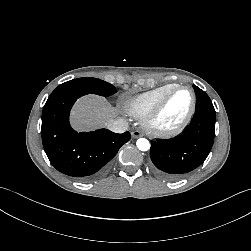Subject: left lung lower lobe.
I'll list each match as a JSON object with an SVG mask.
<instances>
[{"instance_id":"0a47b994","label":"left lung lower lobe","mask_w":251,"mask_h":251,"mask_svg":"<svg viewBox=\"0 0 251 251\" xmlns=\"http://www.w3.org/2000/svg\"><path fill=\"white\" fill-rule=\"evenodd\" d=\"M215 118L213 113L196 111L181 135L152 141L150 157L154 171L163 178L175 180L200 166L213 145Z\"/></svg>"}]
</instances>
